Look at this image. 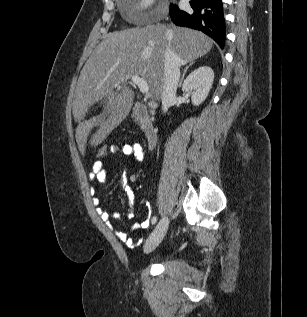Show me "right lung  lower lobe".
Masks as SVG:
<instances>
[{"mask_svg":"<svg viewBox=\"0 0 307 317\" xmlns=\"http://www.w3.org/2000/svg\"><path fill=\"white\" fill-rule=\"evenodd\" d=\"M192 9L180 10L171 4L170 17L174 24L200 30L214 39L221 48L225 44V21L222 0H191Z\"/></svg>","mask_w":307,"mask_h":317,"instance_id":"right-lung-lower-lobe-1","label":"right lung lower lobe"}]
</instances>
